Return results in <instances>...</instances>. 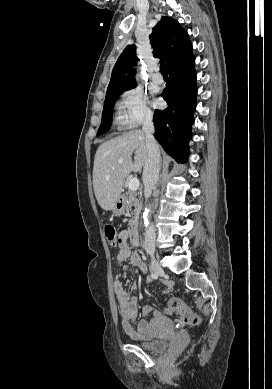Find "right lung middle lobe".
<instances>
[{
  "label": "right lung middle lobe",
  "instance_id": "dd1d6c3e",
  "mask_svg": "<svg viewBox=\"0 0 272 389\" xmlns=\"http://www.w3.org/2000/svg\"><path fill=\"white\" fill-rule=\"evenodd\" d=\"M129 89H131V88H129ZM129 89L114 92V93H111V94L106 96L105 102H104L103 113H102V122H101L99 130L97 132V135H101L109 130V127L112 124V109L114 107V102L119 95H121L123 92H125Z\"/></svg>",
  "mask_w": 272,
  "mask_h": 389
}]
</instances>
